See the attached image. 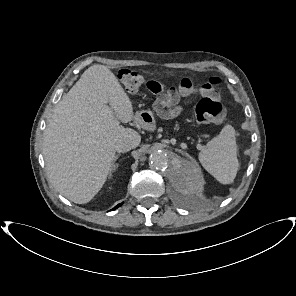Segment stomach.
<instances>
[{
    "label": "stomach",
    "mask_w": 296,
    "mask_h": 296,
    "mask_svg": "<svg viewBox=\"0 0 296 296\" xmlns=\"http://www.w3.org/2000/svg\"><path fill=\"white\" fill-rule=\"evenodd\" d=\"M138 123L147 129H152L155 124V119L151 111H140L136 115Z\"/></svg>",
    "instance_id": "obj_1"
}]
</instances>
